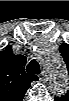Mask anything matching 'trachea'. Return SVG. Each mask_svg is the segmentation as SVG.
Returning a JSON list of instances; mask_svg holds the SVG:
<instances>
[{"mask_svg": "<svg viewBox=\"0 0 69 101\" xmlns=\"http://www.w3.org/2000/svg\"><path fill=\"white\" fill-rule=\"evenodd\" d=\"M26 70L28 73L31 74H40V65L36 60H32L29 62V64L26 67Z\"/></svg>", "mask_w": 69, "mask_h": 101, "instance_id": "1", "label": "trachea"}]
</instances>
